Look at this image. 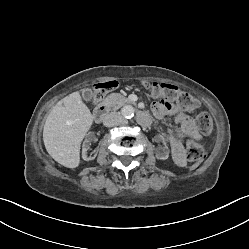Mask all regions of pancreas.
<instances>
[{
  "label": "pancreas",
  "mask_w": 249,
  "mask_h": 249,
  "mask_svg": "<svg viewBox=\"0 0 249 249\" xmlns=\"http://www.w3.org/2000/svg\"><path fill=\"white\" fill-rule=\"evenodd\" d=\"M104 102L113 110H117L130 101L120 93H112L105 98Z\"/></svg>",
  "instance_id": "cf45deb5"
}]
</instances>
